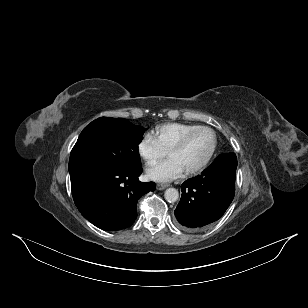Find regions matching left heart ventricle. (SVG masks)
Instances as JSON below:
<instances>
[{
    "label": "left heart ventricle",
    "instance_id": "obj_1",
    "mask_svg": "<svg viewBox=\"0 0 308 308\" xmlns=\"http://www.w3.org/2000/svg\"><path fill=\"white\" fill-rule=\"evenodd\" d=\"M212 145V134L202 130L195 133L183 148L172 151L168 155L178 160L186 171L201 164L210 153Z\"/></svg>",
    "mask_w": 308,
    "mask_h": 308
}]
</instances>
